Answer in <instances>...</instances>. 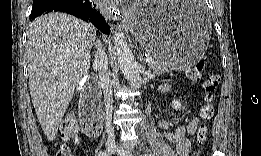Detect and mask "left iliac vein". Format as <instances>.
I'll return each mask as SVG.
<instances>
[{
  "instance_id": "obj_1",
  "label": "left iliac vein",
  "mask_w": 261,
  "mask_h": 156,
  "mask_svg": "<svg viewBox=\"0 0 261 156\" xmlns=\"http://www.w3.org/2000/svg\"><path fill=\"white\" fill-rule=\"evenodd\" d=\"M118 155L120 156H132V152L124 147L120 146L117 150Z\"/></svg>"
}]
</instances>
